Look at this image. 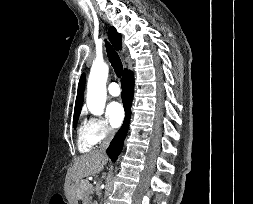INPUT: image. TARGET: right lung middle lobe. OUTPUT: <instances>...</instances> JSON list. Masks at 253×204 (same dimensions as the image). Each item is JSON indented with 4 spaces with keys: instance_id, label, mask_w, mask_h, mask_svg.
<instances>
[{
    "instance_id": "right-lung-middle-lobe-1",
    "label": "right lung middle lobe",
    "mask_w": 253,
    "mask_h": 204,
    "mask_svg": "<svg viewBox=\"0 0 253 204\" xmlns=\"http://www.w3.org/2000/svg\"><path fill=\"white\" fill-rule=\"evenodd\" d=\"M78 117H79V115L74 116V120H73V122H74V128L76 127V124H77V121H78Z\"/></svg>"
}]
</instances>
